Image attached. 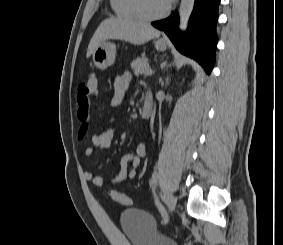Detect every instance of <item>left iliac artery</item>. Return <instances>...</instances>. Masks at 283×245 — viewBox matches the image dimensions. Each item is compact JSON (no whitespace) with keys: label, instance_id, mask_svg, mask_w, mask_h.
I'll return each instance as SVG.
<instances>
[{"label":"left iliac artery","instance_id":"1","mask_svg":"<svg viewBox=\"0 0 283 245\" xmlns=\"http://www.w3.org/2000/svg\"><path fill=\"white\" fill-rule=\"evenodd\" d=\"M158 181V173L155 171L153 174H152V178H151V183L153 185V190L155 189V186H156V183ZM156 205L158 206V209L163 217V223H166L167 222V213L164 209V207L160 204V202L156 199Z\"/></svg>","mask_w":283,"mask_h":245}]
</instances>
